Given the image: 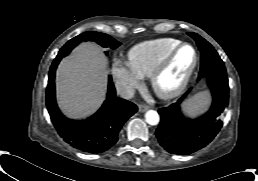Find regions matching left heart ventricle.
<instances>
[{
    "mask_svg": "<svg viewBox=\"0 0 258 181\" xmlns=\"http://www.w3.org/2000/svg\"><path fill=\"white\" fill-rule=\"evenodd\" d=\"M194 60V53L190 47L182 48L177 54L172 66L164 73L160 80L163 88L170 89L178 84L186 70Z\"/></svg>",
    "mask_w": 258,
    "mask_h": 181,
    "instance_id": "b2bd125f",
    "label": "left heart ventricle"
}]
</instances>
